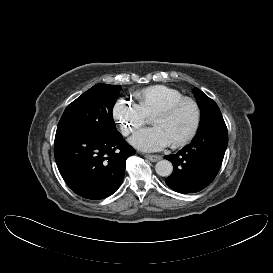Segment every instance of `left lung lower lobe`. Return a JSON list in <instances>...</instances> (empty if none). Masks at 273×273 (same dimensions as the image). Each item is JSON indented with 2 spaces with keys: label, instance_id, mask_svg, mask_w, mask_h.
I'll return each instance as SVG.
<instances>
[{
  "label": "left lung lower lobe",
  "instance_id": "left-lung-lower-lobe-1",
  "mask_svg": "<svg viewBox=\"0 0 273 273\" xmlns=\"http://www.w3.org/2000/svg\"><path fill=\"white\" fill-rule=\"evenodd\" d=\"M228 131L196 135L192 142L174 155L173 172L166 184L179 193H195L207 187L216 177L227 148Z\"/></svg>",
  "mask_w": 273,
  "mask_h": 273
}]
</instances>
